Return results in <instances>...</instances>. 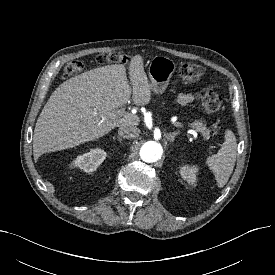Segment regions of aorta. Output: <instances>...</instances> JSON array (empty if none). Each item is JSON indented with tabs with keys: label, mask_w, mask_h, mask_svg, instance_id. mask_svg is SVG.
I'll return each instance as SVG.
<instances>
[{
	"label": "aorta",
	"mask_w": 275,
	"mask_h": 275,
	"mask_svg": "<svg viewBox=\"0 0 275 275\" xmlns=\"http://www.w3.org/2000/svg\"><path fill=\"white\" fill-rule=\"evenodd\" d=\"M163 154L162 145L156 141L145 142L140 149V157L144 162H156Z\"/></svg>",
	"instance_id": "obj_1"
}]
</instances>
